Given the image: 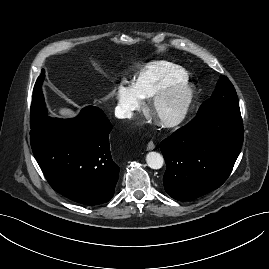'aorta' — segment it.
I'll list each match as a JSON object with an SVG mask.
<instances>
[{
    "label": "aorta",
    "mask_w": 269,
    "mask_h": 269,
    "mask_svg": "<svg viewBox=\"0 0 269 269\" xmlns=\"http://www.w3.org/2000/svg\"><path fill=\"white\" fill-rule=\"evenodd\" d=\"M146 163L152 169H160L163 166L164 159L158 152H149L146 155Z\"/></svg>",
    "instance_id": "1"
}]
</instances>
